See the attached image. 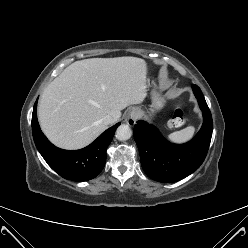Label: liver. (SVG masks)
Wrapping results in <instances>:
<instances>
[{
	"label": "liver",
	"instance_id": "1",
	"mask_svg": "<svg viewBox=\"0 0 248 248\" xmlns=\"http://www.w3.org/2000/svg\"><path fill=\"white\" fill-rule=\"evenodd\" d=\"M147 63L136 57L91 58L69 65L44 90L38 105L42 131L56 146L80 149L117 122L121 110L147 96Z\"/></svg>",
	"mask_w": 248,
	"mask_h": 248
}]
</instances>
